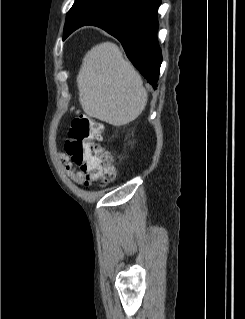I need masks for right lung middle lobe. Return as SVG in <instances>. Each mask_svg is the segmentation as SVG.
Returning <instances> with one entry per match:
<instances>
[{
  "label": "right lung middle lobe",
  "instance_id": "obj_1",
  "mask_svg": "<svg viewBox=\"0 0 245 319\" xmlns=\"http://www.w3.org/2000/svg\"><path fill=\"white\" fill-rule=\"evenodd\" d=\"M128 1L129 0H83L80 2V7L87 13V15L95 20L109 12L116 10ZM75 20V18H70L69 20H66L65 24H73Z\"/></svg>",
  "mask_w": 245,
  "mask_h": 319
}]
</instances>
